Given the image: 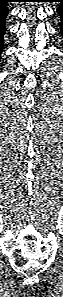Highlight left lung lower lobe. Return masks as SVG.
<instances>
[{
	"label": "left lung lower lobe",
	"instance_id": "0a47b994",
	"mask_svg": "<svg viewBox=\"0 0 63 297\" xmlns=\"http://www.w3.org/2000/svg\"><path fill=\"white\" fill-rule=\"evenodd\" d=\"M55 2H60L59 7L57 8V13L60 16L61 23H60V30L63 35V0H56Z\"/></svg>",
	"mask_w": 63,
	"mask_h": 297
}]
</instances>
